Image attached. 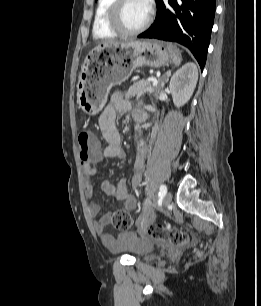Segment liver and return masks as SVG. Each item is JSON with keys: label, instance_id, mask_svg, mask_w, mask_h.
I'll return each instance as SVG.
<instances>
[{"label": "liver", "instance_id": "obj_1", "mask_svg": "<svg viewBox=\"0 0 261 306\" xmlns=\"http://www.w3.org/2000/svg\"><path fill=\"white\" fill-rule=\"evenodd\" d=\"M121 43H118V42H107V43H103V46H108V45H120Z\"/></svg>", "mask_w": 261, "mask_h": 306}]
</instances>
